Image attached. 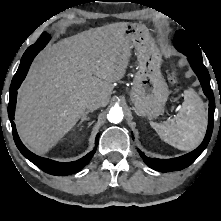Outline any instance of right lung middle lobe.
<instances>
[{
	"instance_id": "1",
	"label": "right lung middle lobe",
	"mask_w": 221,
	"mask_h": 221,
	"mask_svg": "<svg viewBox=\"0 0 221 221\" xmlns=\"http://www.w3.org/2000/svg\"><path fill=\"white\" fill-rule=\"evenodd\" d=\"M47 36H48V37H47ZM45 37H47V38L45 39ZM49 40H50V36H49L46 32H44V33L40 36V38L37 40V42H36L35 44H33V47H34V48L38 47L39 45H41V43H42L43 41H46V44H47Z\"/></svg>"
}]
</instances>
